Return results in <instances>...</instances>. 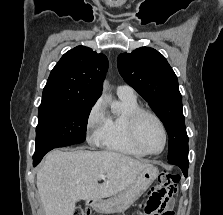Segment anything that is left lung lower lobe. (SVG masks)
<instances>
[{
    "label": "left lung lower lobe",
    "instance_id": "obj_1",
    "mask_svg": "<svg viewBox=\"0 0 223 215\" xmlns=\"http://www.w3.org/2000/svg\"><path fill=\"white\" fill-rule=\"evenodd\" d=\"M169 163L180 167L184 176L187 177L189 162H177L169 160Z\"/></svg>",
    "mask_w": 223,
    "mask_h": 215
}]
</instances>
